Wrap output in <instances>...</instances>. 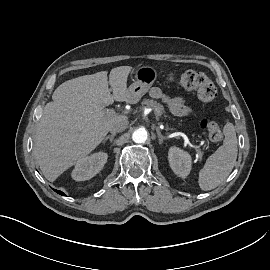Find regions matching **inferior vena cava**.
I'll return each instance as SVG.
<instances>
[{
    "instance_id": "1",
    "label": "inferior vena cava",
    "mask_w": 270,
    "mask_h": 270,
    "mask_svg": "<svg viewBox=\"0 0 270 270\" xmlns=\"http://www.w3.org/2000/svg\"><path fill=\"white\" fill-rule=\"evenodd\" d=\"M129 122L126 119L117 120L110 126V131L112 133H117L125 130L128 126Z\"/></svg>"
}]
</instances>
